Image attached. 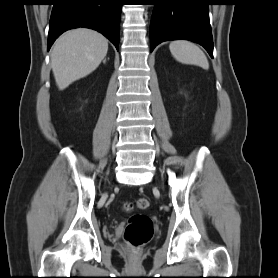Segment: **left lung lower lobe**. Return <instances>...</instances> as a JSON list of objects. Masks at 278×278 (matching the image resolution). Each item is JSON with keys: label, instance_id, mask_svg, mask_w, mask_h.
Returning <instances> with one entry per match:
<instances>
[{"label": "left lung lower lobe", "instance_id": "0a47b994", "mask_svg": "<svg viewBox=\"0 0 278 278\" xmlns=\"http://www.w3.org/2000/svg\"><path fill=\"white\" fill-rule=\"evenodd\" d=\"M155 5L150 24V52L161 42L190 40L202 45L213 58L209 22L210 0H151Z\"/></svg>", "mask_w": 278, "mask_h": 278}]
</instances>
